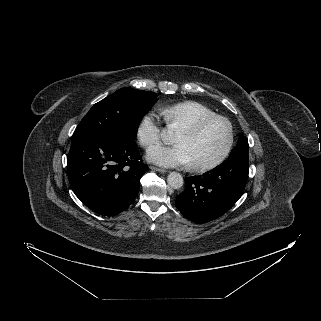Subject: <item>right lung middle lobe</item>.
Returning a JSON list of instances; mask_svg holds the SVG:
<instances>
[{"label":"right lung middle lobe","mask_w":321,"mask_h":321,"mask_svg":"<svg viewBox=\"0 0 321 321\" xmlns=\"http://www.w3.org/2000/svg\"><path fill=\"white\" fill-rule=\"evenodd\" d=\"M154 92L122 88L96 103L75 129L82 136L135 140L141 118L157 101Z\"/></svg>","instance_id":"dd1d6c3e"}]
</instances>
